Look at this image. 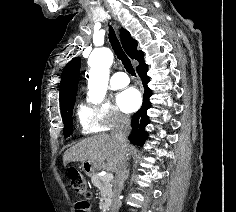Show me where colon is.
I'll list each match as a JSON object with an SVG mask.
<instances>
[{"label":"colon","mask_w":236,"mask_h":212,"mask_svg":"<svg viewBox=\"0 0 236 212\" xmlns=\"http://www.w3.org/2000/svg\"><path fill=\"white\" fill-rule=\"evenodd\" d=\"M68 178H69L71 187L76 193L84 195L86 197L90 196V192L88 190L86 180L83 174L78 169L76 168L69 169ZM76 205H81V204H76Z\"/></svg>","instance_id":"5ec220e1"}]
</instances>
